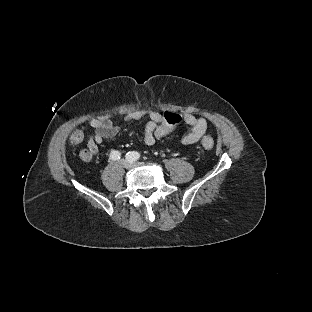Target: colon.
Instances as JSON below:
<instances>
[{
    "instance_id": "obj_1",
    "label": "colon",
    "mask_w": 312,
    "mask_h": 312,
    "mask_svg": "<svg viewBox=\"0 0 312 312\" xmlns=\"http://www.w3.org/2000/svg\"><path fill=\"white\" fill-rule=\"evenodd\" d=\"M164 120L160 127H157L154 131V136L156 138H161L163 135L170 134L175 126L183 119V116L180 113L170 112L166 110L163 113ZM83 133L80 130H76L73 135L70 137V140L73 143H76L81 137ZM201 145L206 150H211L214 146L213 139L211 137H204L201 141Z\"/></svg>"
}]
</instances>
